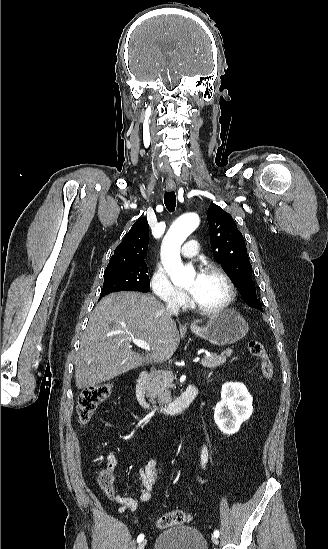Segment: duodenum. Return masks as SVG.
Wrapping results in <instances>:
<instances>
[{"instance_id":"1","label":"duodenum","mask_w":328,"mask_h":549,"mask_svg":"<svg viewBox=\"0 0 328 549\" xmlns=\"http://www.w3.org/2000/svg\"><path fill=\"white\" fill-rule=\"evenodd\" d=\"M148 384L149 372L143 371L140 373L136 383V396L140 405L150 412L162 413L165 415L179 414L188 407V405L198 394V388L195 385H190L178 398L172 402L164 405H154L148 399Z\"/></svg>"}]
</instances>
